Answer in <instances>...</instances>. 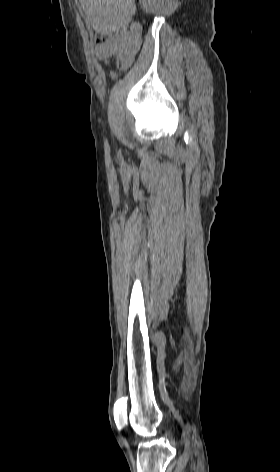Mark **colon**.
<instances>
[{
    "label": "colon",
    "mask_w": 280,
    "mask_h": 472,
    "mask_svg": "<svg viewBox=\"0 0 280 472\" xmlns=\"http://www.w3.org/2000/svg\"><path fill=\"white\" fill-rule=\"evenodd\" d=\"M125 28H120L117 32H125ZM111 34L109 32H97L94 35V42L96 45H105L111 40ZM130 58L129 57H121L117 60V65L119 68H127L130 65Z\"/></svg>",
    "instance_id": "1"
}]
</instances>
